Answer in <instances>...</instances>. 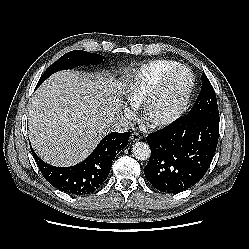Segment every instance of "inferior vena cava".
I'll use <instances>...</instances> for the list:
<instances>
[{
    "instance_id": "602c4592",
    "label": "inferior vena cava",
    "mask_w": 249,
    "mask_h": 249,
    "mask_svg": "<svg viewBox=\"0 0 249 249\" xmlns=\"http://www.w3.org/2000/svg\"><path fill=\"white\" fill-rule=\"evenodd\" d=\"M132 123L124 117H118L109 125V131L124 133L130 129Z\"/></svg>"
}]
</instances>
